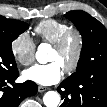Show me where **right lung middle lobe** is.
<instances>
[{"label": "right lung middle lobe", "instance_id": "1", "mask_svg": "<svg viewBox=\"0 0 107 107\" xmlns=\"http://www.w3.org/2000/svg\"><path fill=\"white\" fill-rule=\"evenodd\" d=\"M28 27L25 22L0 16V79L18 71L11 45Z\"/></svg>", "mask_w": 107, "mask_h": 107}]
</instances>
